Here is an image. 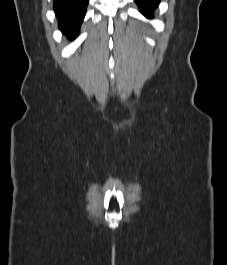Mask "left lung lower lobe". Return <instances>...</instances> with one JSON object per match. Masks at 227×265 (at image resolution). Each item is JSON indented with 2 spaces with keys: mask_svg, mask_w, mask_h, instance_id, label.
Masks as SVG:
<instances>
[{
  "mask_svg": "<svg viewBox=\"0 0 227 265\" xmlns=\"http://www.w3.org/2000/svg\"><path fill=\"white\" fill-rule=\"evenodd\" d=\"M135 2L139 5L141 13L151 18L152 12L158 6L160 0H135Z\"/></svg>",
  "mask_w": 227,
  "mask_h": 265,
  "instance_id": "1",
  "label": "left lung lower lobe"
}]
</instances>
